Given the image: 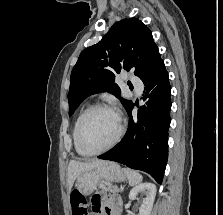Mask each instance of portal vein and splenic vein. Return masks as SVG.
Returning a JSON list of instances; mask_svg holds the SVG:
<instances>
[{"label": "portal vein and splenic vein", "mask_w": 223, "mask_h": 215, "mask_svg": "<svg viewBox=\"0 0 223 215\" xmlns=\"http://www.w3.org/2000/svg\"><path fill=\"white\" fill-rule=\"evenodd\" d=\"M120 189H123V186H120Z\"/></svg>", "instance_id": "obj_1"}]
</instances>
